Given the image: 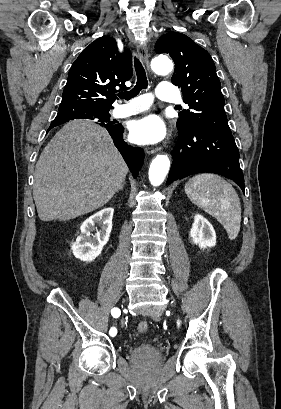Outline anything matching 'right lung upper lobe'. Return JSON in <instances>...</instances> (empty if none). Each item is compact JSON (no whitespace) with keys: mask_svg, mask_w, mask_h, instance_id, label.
<instances>
[{"mask_svg":"<svg viewBox=\"0 0 281 409\" xmlns=\"http://www.w3.org/2000/svg\"><path fill=\"white\" fill-rule=\"evenodd\" d=\"M131 56L129 51L119 53L112 37L96 39L72 64L59 110L109 112L116 87L125 89L132 76Z\"/></svg>","mask_w":281,"mask_h":409,"instance_id":"obj_1","label":"right lung upper lobe"}]
</instances>
